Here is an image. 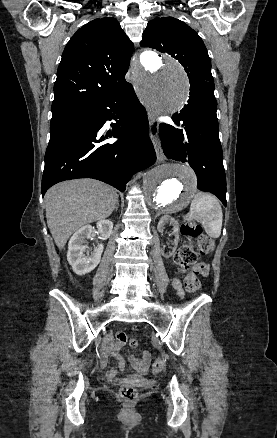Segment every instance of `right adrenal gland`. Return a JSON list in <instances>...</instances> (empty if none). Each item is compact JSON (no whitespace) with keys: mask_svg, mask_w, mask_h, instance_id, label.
Instances as JSON below:
<instances>
[{"mask_svg":"<svg viewBox=\"0 0 277 438\" xmlns=\"http://www.w3.org/2000/svg\"><path fill=\"white\" fill-rule=\"evenodd\" d=\"M118 206H119V202H117V204H116V208H115L116 212L118 210Z\"/></svg>","mask_w":277,"mask_h":438,"instance_id":"1","label":"right adrenal gland"}]
</instances>
